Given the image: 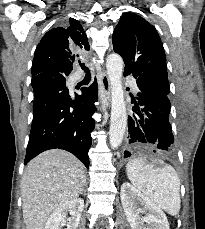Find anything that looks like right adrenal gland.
<instances>
[{
    "label": "right adrenal gland",
    "instance_id": "2a0ac1e0",
    "mask_svg": "<svg viewBox=\"0 0 205 229\" xmlns=\"http://www.w3.org/2000/svg\"><path fill=\"white\" fill-rule=\"evenodd\" d=\"M84 189H82L81 194H83Z\"/></svg>",
    "mask_w": 205,
    "mask_h": 229
}]
</instances>
